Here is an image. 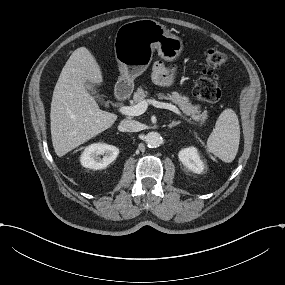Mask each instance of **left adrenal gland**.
I'll return each mask as SVG.
<instances>
[{"mask_svg":"<svg viewBox=\"0 0 285 285\" xmlns=\"http://www.w3.org/2000/svg\"><path fill=\"white\" fill-rule=\"evenodd\" d=\"M181 122L180 121H172L169 125H168V127L169 128H172V127H174V126H176V125H178V124H180Z\"/></svg>","mask_w":285,"mask_h":285,"instance_id":"obj_1","label":"left adrenal gland"}]
</instances>
